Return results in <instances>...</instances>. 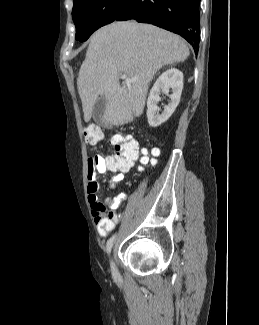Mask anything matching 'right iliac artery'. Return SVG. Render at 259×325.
Instances as JSON below:
<instances>
[{
  "instance_id": "right-iliac-artery-1",
  "label": "right iliac artery",
  "mask_w": 259,
  "mask_h": 325,
  "mask_svg": "<svg viewBox=\"0 0 259 325\" xmlns=\"http://www.w3.org/2000/svg\"><path fill=\"white\" fill-rule=\"evenodd\" d=\"M115 237H116V235H113L108 241H107V245H106V247H107V253L109 254L110 253V251H111V249H112V246H113V243H114V240H115Z\"/></svg>"
}]
</instances>
